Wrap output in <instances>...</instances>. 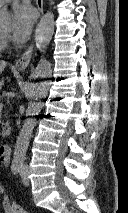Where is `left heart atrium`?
<instances>
[{
  "label": "left heart atrium",
  "mask_w": 128,
  "mask_h": 213,
  "mask_svg": "<svg viewBox=\"0 0 128 213\" xmlns=\"http://www.w3.org/2000/svg\"><path fill=\"white\" fill-rule=\"evenodd\" d=\"M35 13L25 4L16 5L13 9L12 37L16 43H23L30 35Z\"/></svg>",
  "instance_id": "obj_1"
}]
</instances>
